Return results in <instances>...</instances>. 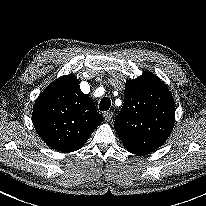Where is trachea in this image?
<instances>
[{
  "mask_svg": "<svg viewBox=\"0 0 206 206\" xmlns=\"http://www.w3.org/2000/svg\"><path fill=\"white\" fill-rule=\"evenodd\" d=\"M111 106V100L108 97H104L101 99L99 104L100 111H107Z\"/></svg>",
  "mask_w": 206,
  "mask_h": 206,
  "instance_id": "3493384b",
  "label": "trachea"
}]
</instances>
